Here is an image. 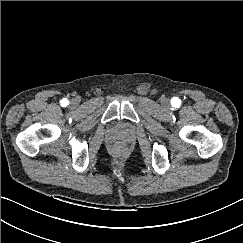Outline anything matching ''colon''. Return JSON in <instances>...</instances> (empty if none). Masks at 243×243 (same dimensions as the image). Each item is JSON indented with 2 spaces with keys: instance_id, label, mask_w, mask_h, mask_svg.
<instances>
[{
  "instance_id": "1",
  "label": "colon",
  "mask_w": 243,
  "mask_h": 243,
  "mask_svg": "<svg viewBox=\"0 0 243 243\" xmlns=\"http://www.w3.org/2000/svg\"><path fill=\"white\" fill-rule=\"evenodd\" d=\"M116 152H117V153H119V152H120V150H119V149H117V150H116Z\"/></svg>"
}]
</instances>
